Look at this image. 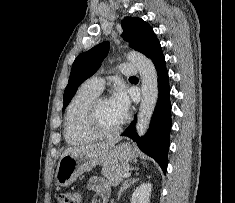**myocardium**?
Segmentation results:
<instances>
[{
	"label": "myocardium",
	"instance_id": "1",
	"mask_svg": "<svg viewBox=\"0 0 235 203\" xmlns=\"http://www.w3.org/2000/svg\"><path fill=\"white\" fill-rule=\"evenodd\" d=\"M105 99L108 98L103 95L96 96L89 104L86 115L87 127L98 138L111 137L119 134L123 130L128 120V118L125 117L124 120L120 123V125H118L116 128L111 130L104 129L99 123L98 109L100 103Z\"/></svg>",
	"mask_w": 235,
	"mask_h": 203
}]
</instances>
